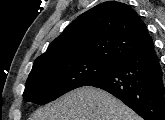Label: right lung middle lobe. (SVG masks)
Wrapping results in <instances>:
<instances>
[{
	"label": "right lung middle lobe",
	"instance_id": "obj_1",
	"mask_svg": "<svg viewBox=\"0 0 165 120\" xmlns=\"http://www.w3.org/2000/svg\"><path fill=\"white\" fill-rule=\"evenodd\" d=\"M116 65L97 59L71 58L33 66L25 84L23 98L36 104H46L106 75Z\"/></svg>",
	"mask_w": 165,
	"mask_h": 120
}]
</instances>
